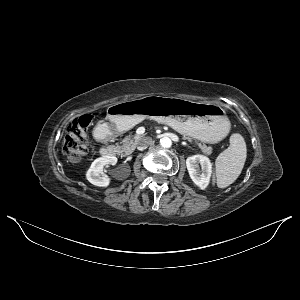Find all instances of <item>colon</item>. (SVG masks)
<instances>
[{
    "instance_id": "5ec220e1",
    "label": "colon",
    "mask_w": 300,
    "mask_h": 300,
    "mask_svg": "<svg viewBox=\"0 0 300 300\" xmlns=\"http://www.w3.org/2000/svg\"><path fill=\"white\" fill-rule=\"evenodd\" d=\"M92 123L90 115L72 122L64 140V154L70 162H79L87 153L86 133Z\"/></svg>"
}]
</instances>
